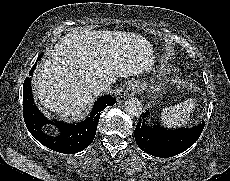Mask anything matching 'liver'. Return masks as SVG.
<instances>
[{"instance_id": "6515ba94", "label": "liver", "mask_w": 230, "mask_h": 181, "mask_svg": "<svg viewBox=\"0 0 230 181\" xmlns=\"http://www.w3.org/2000/svg\"><path fill=\"white\" fill-rule=\"evenodd\" d=\"M153 52L147 40L132 33H68L37 68L34 95L46 112L77 119L92 102L93 83L147 72Z\"/></svg>"}]
</instances>
